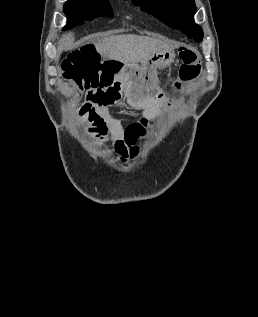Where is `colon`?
<instances>
[{"instance_id":"colon-1","label":"colon","mask_w":258,"mask_h":317,"mask_svg":"<svg viewBox=\"0 0 258 317\" xmlns=\"http://www.w3.org/2000/svg\"><path fill=\"white\" fill-rule=\"evenodd\" d=\"M179 55L182 65L176 88L196 78L202 69L199 55L194 49L182 48ZM120 68L119 61L102 57L94 43H86L72 51L62 64L63 77L73 82L77 94L109 81Z\"/></svg>"}]
</instances>
